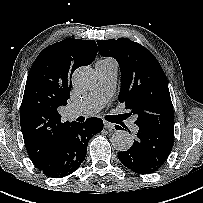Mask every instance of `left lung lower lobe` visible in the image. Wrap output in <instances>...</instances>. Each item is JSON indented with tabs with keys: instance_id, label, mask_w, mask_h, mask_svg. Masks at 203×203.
<instances>
[{
	"instance_id": "1",
	"label": "left lung lower lobe",
	"mask_w": 203,
	"mask_h": 203,
	"mask_svg": "<svg viewBox=\"0 0 203 203\" xmlns=\"http://www.w3.org/2000/svg\"><path fill=\"white\" fill-rule=\"evenodd\" d=\"M121 129V127L118 126ZM174 133L139 127L130 149L118 153L121 163L137 174H151L161 168L173 147Z\"/></svg>"
}]
</instances>
